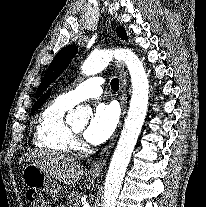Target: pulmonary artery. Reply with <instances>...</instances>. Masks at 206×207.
I'll list each match as a JSON object with an SVG mask.
<instances>
[{
  "label": "pulmonary artery",
  "mask_w": 206,
  "mask_h": 207,
  "mask_svg": "<svg viewBox=\"0 0 206 207\" xmlns=\"http://www.w3.org/2000/svg\"><path fill=\"white\" fill-rule=\"evenodd\" d=\"M103 83V77L93 76L80 83L74 89L69 90L63 96L73 105L86 99L98 98L102 94Z\"/></svg>",
  "instance_id": "pulmonary-artery-1"
}]
</instances>
